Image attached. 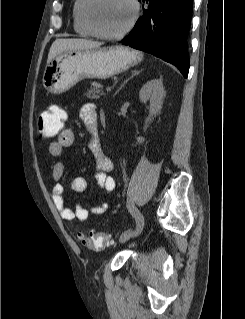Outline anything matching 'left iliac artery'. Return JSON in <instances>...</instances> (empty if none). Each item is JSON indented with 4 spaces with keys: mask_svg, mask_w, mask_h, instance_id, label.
I'll return each mask as SVG.
<instances>
[{
    "mask_svg": "<svg viewBox=\"0 0 245 319\" xmlns=\"http://www.w3.org/2000/svg\"><path fill=\"white\" fill-rule=\"evenodd\" d=\"M129 210H130V213L132 214V216L136 220V223H137V228L136 229H137V231H140L143 228V225H144L143 216L141 215L139 210L133 204L129 205ZM129 231H132V230H129Z\"/></svg>",
    "mask_w": 245,
    "mask_h": 319,
    "instance_id": "1",
    "label": "left iliac artery"
}]
</instances>
